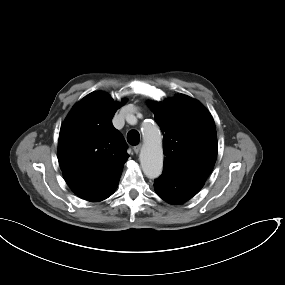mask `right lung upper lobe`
I'll use <instances>...</instances> for the list:
<instances>
[{
  "instance_id": "1",
  "label": "right lung upper lobe",
  "mask_w": 285,
  "mask_h": 285,
  "mask_svg": "<svg viewBox=\"0 0 285 285\" xmlns=\"http://www.w3.org/2000/svg\"><path fill=\"white\" fill-rule=\"evenodd\" d=\"M104 92L80 100L63 122L58 161L71 190L91 202L102 201L117 188L129 155L122 134L112 124L123 105Z\"/></svg>"
}]
</instances>
